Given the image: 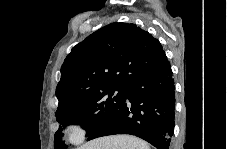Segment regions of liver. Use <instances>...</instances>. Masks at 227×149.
Segmentation results:
<instances>
[{
    "label": "liver",
    "mask_w": 227,
    "mask_h": 149,
    "mask_svg": "<svg viewBox=\"0 0 227 149\" xmlns=\"http://www.w3.org/2000/svg\"><path fill=\"white\" fill-rule=\"evenodd\" d=\"M79 149H150V146L135 136L112 135L92 140Z\"/></svg>",
    "instance_id": "liver-1"
}]
</instances>
